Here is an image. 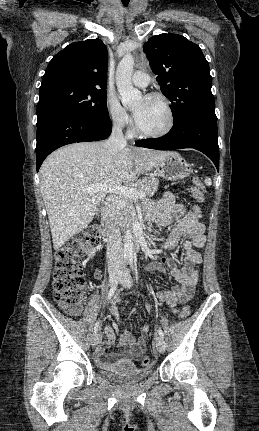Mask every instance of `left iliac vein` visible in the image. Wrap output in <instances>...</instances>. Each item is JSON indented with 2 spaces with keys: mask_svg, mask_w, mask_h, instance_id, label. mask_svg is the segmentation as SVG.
<instances>
[{
  "mask_svg": "<svg viewBox=\"0 0 259 431\" xmlns=\"http://www.w3.org/2000/svg\"><path fill=\"white\" fill-rule=\"evenodd\" d=\"M120 283L125 288H130L132 286V278L127 268H124L121 272ZM155 344L158 352L164 353L166 348L164 339L160 336L156 337Z\"/></svg>",
  "mask_w": 259,
  "mask_h": 431,
  "instance_id": "1",
  "label": "left iliac vein"
}]
</instances>
